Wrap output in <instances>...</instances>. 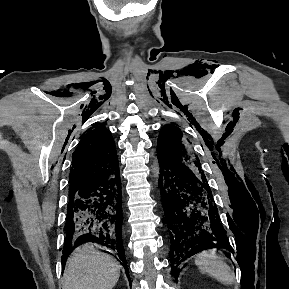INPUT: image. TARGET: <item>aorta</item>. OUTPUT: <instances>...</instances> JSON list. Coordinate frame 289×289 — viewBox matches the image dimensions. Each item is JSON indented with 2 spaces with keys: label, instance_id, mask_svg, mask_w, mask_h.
Listing matches in <instances>:
<instances>
[{
  "label": "aorta",
  "instance_id": "aorta-1",
  "mask_svg": "<svg viewBox=\"0 0 289 289\" xmlns=\"http://www.w3.org/2000/svg\"><path fill=\"white\" fill-rule=\"evenodd\" d=\"M153 177L157 180L160 175V165L157 160H155L151 166Z\"/></svg>",
  "mask_w": 289,
  "mask_h": 289
}]
</instances>
